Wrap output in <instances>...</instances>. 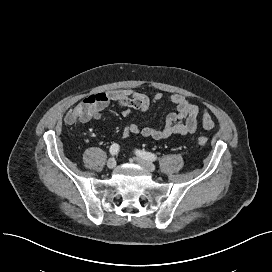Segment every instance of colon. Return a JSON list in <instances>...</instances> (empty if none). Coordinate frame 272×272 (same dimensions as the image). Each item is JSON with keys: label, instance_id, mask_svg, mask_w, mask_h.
Instances as JSON below:
<instances>
[{"label": "colon", "instance_id": "obj_1", "mask_svg": "<svg viewBox=\"0 0 272 272\" xmlns=\"http://www.w3.org/2000/svg\"><path fill=\"white\" fill-rule=\"evenodd\" d=\"M207 141V138L203 136L197 138V144L200 146H205L207 144Z\"/></svg>", "mask_w": 272, "mask_h": 272}]
</instances>
